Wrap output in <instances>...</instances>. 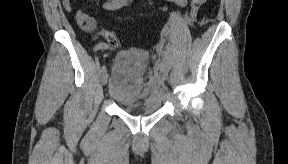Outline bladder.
Here are the masks:
<instances>
[{
  "label": "bladder",
  "instance_id": "31cf9c89",
  "mask_svg": "<svg viewBox=\"0 0 288 164\" xmlns=\"http://www.w3.org/2000/svg\"><path fill=\"white\" fill-rule=\"evenodd\" d=\"M147 55L139 50L125 51L113 62L108 93L117 106L127 113H155L160 101L145 85Z\"/></svg>",
  "mask_w": 288,
  "mask_h": 164
}]
</instances>
